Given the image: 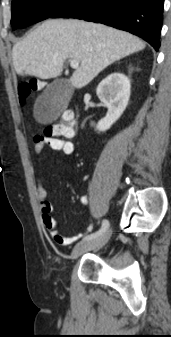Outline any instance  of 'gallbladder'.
Here are the masks:
<instances>
[{
    "label": "gallbladder",
    "instance_id": "bac80fb5",
    "mask_svg": "<svg viewBox=\"0 0 171 337\" xmlns=\"http://www.w3.org/2000/svg\"><path fill=\"white\" fill-rule=\"evenodd\" d=\"M73 87L64 79H56L37 98L34 107L36 119L41 123L55 120L67 107Z\"/></svg>",
    "mask_w": 171,
    "mask_h": 337
}]
</instances>
